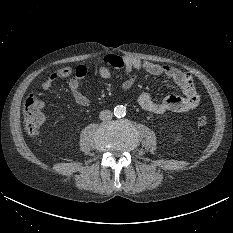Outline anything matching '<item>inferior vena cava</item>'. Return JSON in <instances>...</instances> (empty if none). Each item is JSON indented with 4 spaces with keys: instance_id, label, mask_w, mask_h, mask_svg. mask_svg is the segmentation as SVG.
I'll use <instances>...</instances> for the list:
<instances>
[{
    "instance_id": "602c4592",
    "label": "inferior vena cava",
    "mask_w": 233,
    "mask_h": 233,
    "mask_svg": "<svg viewBox=\"0 0 233 233\" xmlns=\"http://www.w3.org/2000/svg\"><path fill=\"white\" fill-rule=\"evenodd\" d=\"M113 113L110 110H103L99 114L101 120H110L112 119Z\"/></svg>"
}]
</instances>
